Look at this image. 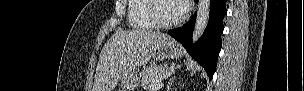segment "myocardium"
Listing matches in <instances>:
<instances>
[{"mask_svg": "<svg viewBox=\"0 0 304 91\" xmlns=\"http://www.w3.org/2000/svg\"><path fill=\"white\" fill-rule=\"evenodd\" d=\"M160 1H165V0H149V4H148V15L157 28H162V29L173 28L178 26L185 20L187 15V10H184L181 16L173 21L167 22L161 20L157 13L158 3Z\"/></svg>", "mask_w": 304, "mask_h": 91, "instance_id": "1", "label": "myocardium"}]
</instances>
